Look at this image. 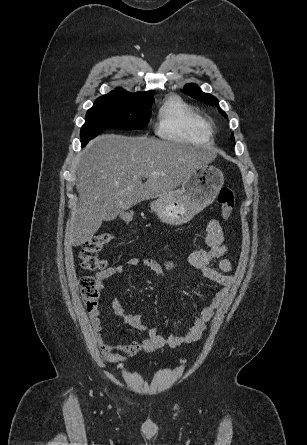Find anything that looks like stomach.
I'll use <instances>...</instances> for the list:
<instances>
[{"label": "stomach", "mask_w": 307, "mask_h": 445, "mask_svg": "<svg viewBox=\"0 0 307 445\" xmlns=\"http://www.w3.org/2000/svg\"><path fill=\"white\" fill-rule=\"evenodd\" d=\"M224 182L222 170L212 164H201L194 168L182 188L161 194L151 200L150 208L156 212L162 223L171 227H180L212 204Z\"/></svg>", "instance_id": "1"}]
</instances>
